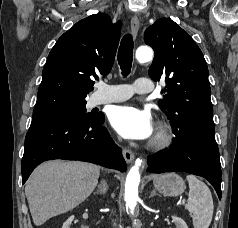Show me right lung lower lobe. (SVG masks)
I'll list each match as a JSON object with an SVG mask.
<instances>
[{
  "label": "right lung lower lobe",
  "mask_w": 238,
  "mask_h": 228,
  "mask_svg": "<svg viewBox=\"0 0 238 228\" xmlns=\"http://www.w3.org/2000/svg\"><path fill=\"white\" fill-rule=\"evenodd\" d=\"M104 121L103 113L92 121L66 116L33 118L25 137L22 183L40 163L58 158L87 161L125 171L121 149L102 126Z\"/></svg>",
  "instance_id": "1"
}]
</instances>
